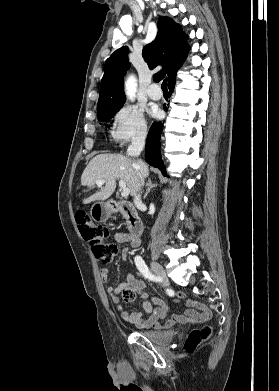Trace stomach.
Returning a JSON list of instances; mask_svg holds the SVG:
<instances>
[{"label":"stomach","mask_w":279,"mask_h":391,"mask_svg":"<svg viewBox=\"0 0 279 391\" xmlns=\"http://www.w3.org/2000/svg\"><path fill=\"white\" fill-rule=\"evenodd\" d=\"M112 213L110 204L108 203H95L90 211L91 217L97 222L106 221Z\"/></svg>","instance_id":"0dacf381"}]
</instances>
